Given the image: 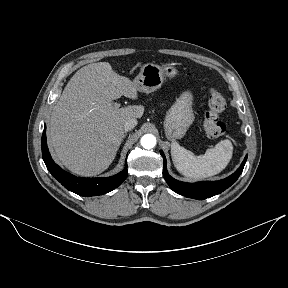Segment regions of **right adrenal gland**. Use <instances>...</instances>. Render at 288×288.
<instances>
[{"label": "right adrenal gland", "instance_id": "1", "mask_svg": "<svg viewBox=\"0 0 288 288\" xmlns=\"http://www.w3.org/2000/svg\"><path fill=\"white\" fill-rule=\"evenodd\" d=\"M126 134H124L123 138H125Z\"/></svg>", "mask_w": 288, "mask_h": 288}]
</instances>
